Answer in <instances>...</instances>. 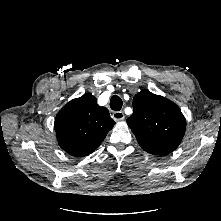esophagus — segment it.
I'll use <instances>...</instances> for the list:
<instances>
[{
    "label": "esophagus",
    "instance_id": "obj_1",
    "mask_svg": "<svg viewBox=\"0 0 221 221\" xmlns=\"http://www.w3.org/2000/svg\"><path fill=\"white\" fill-rule=\"evenodd\" d=\"M112 118H113V120H115V121H122V120H124V118H125V114H124L123 111H115V112H113V114H112Z\"/></svg>",
    "mask_w": 221,
    "mask_h": 221
}]
</instances>
